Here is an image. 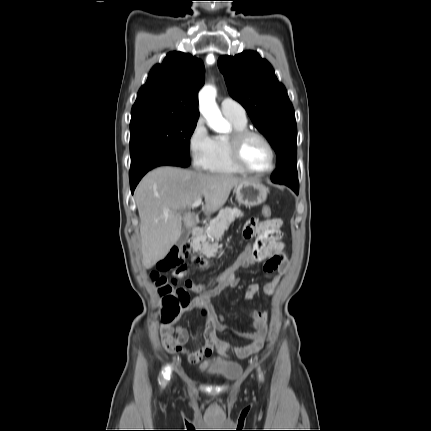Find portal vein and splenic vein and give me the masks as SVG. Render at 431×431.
<instances>
[{"mask_svg": "<svg viewBox=\"0 0 431 431\" xmlns=\"http://www.w3.org/2000/svg\"><path fill=\"white\" fill-rule=\"evenodd\" d=\"M201 204H202V199L199 198L193 204H191L188 207L194 209V208H197L198 206H200Z\"/></svg>", "mask_w": 431, "mask_h": 431, "instance_id": "obj_1", "label": "portal vein and splenic vein"}]
</instances>
